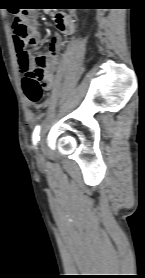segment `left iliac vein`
<instances>
[{"label":"left iliac vein","mask_w":145,"mask_h":278,"mask_svg":"<svg viewBox=\"0 0 145 278\" xmlns=\"http://www.w3.org/2000/svg\"><path fill=\"white\" fill-rule=\"evenodd\" d=\"M37 157H38V159H40V154H39V152H37Z\"/></svg>","instance_id":"4c4485c4"}]
</instances>
